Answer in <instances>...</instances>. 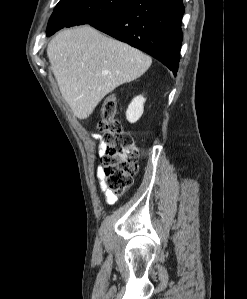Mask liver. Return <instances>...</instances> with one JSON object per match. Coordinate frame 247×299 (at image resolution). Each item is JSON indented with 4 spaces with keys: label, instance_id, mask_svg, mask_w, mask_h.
<instances>
[{
    "label": "liver",
    "instance_id": "liver-1",
    "mask_svg": "<svg viewBox=\"0 0 247 299\" xmlns=\"http://www.w3.org/2000/svg\"><path fill=\"white\" fill-rule=\"evenodd\" d=\"M47 56L62 97L79 119H87L108 93L142 76L152 63L148 55L90 25L58 32Z\"/></svg>",
    "mask_w": 247,
    "mask_h": 299
}]
</instances>
